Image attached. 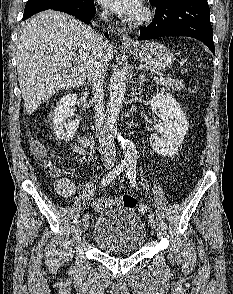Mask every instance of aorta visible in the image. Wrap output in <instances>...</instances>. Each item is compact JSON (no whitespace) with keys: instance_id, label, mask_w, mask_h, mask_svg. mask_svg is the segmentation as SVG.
<instances>
[{"instance_id":"1","label":"aorta","mask_w":233,"mask_h":294,"mask_svg":"<svg viewBox=\"0 0 233 294\" xmlns=\"http://www.w3.org/2000/svg\"><path fill=\"white\" fill-rule=\"evenodd\" d=\"M126 80L127 71L125 68L121 67L114 72L107 106V126L112 136L116 137L121 143L124 152L123 162L130 167H135L137 164L136 147L132 141L125 139L117 129V118L124 100Z\"/></svg>"}]
</instances>
